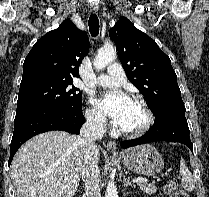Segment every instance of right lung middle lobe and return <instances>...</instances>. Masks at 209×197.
Listing matches in <instances>:
<instances>
[{
    "instance_id": "1",
    "label": "right lung middle lobe",
    "mask_w": 209,
    "mask_h": 197,
    "mask_svg": "<svg viewBox=\"0 0 209 197\" xmlns=\"http://www.w3.org/2000/svg\"><path fill=\"white\" fill-rule=\"evenodd\" d=\"M72 80H36L20 84L16 115L47 107H82Z\"/></svg>"
}]
</instances>
